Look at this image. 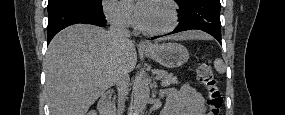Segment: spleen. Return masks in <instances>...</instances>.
Here are the masks:
<instances>
[{
    "instance_id": "spleen-1",
    "label": "spleen",
    "mask_w": 285,
    "mask_h": 115,
    "mask_svg": "<svg viewBox=\"0 0 285 115\" xmlns=\"http://www.w3.org/2000/svg\"><path fill=\"white\" fill-rule=\"evenodd\" d=\"M214 67L216 69V71L220 74H223L226 70V67L224 65V62L222 59L220 58H217L215 61H214Z\"/></svg>"
}]
</instances>
